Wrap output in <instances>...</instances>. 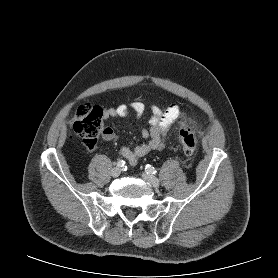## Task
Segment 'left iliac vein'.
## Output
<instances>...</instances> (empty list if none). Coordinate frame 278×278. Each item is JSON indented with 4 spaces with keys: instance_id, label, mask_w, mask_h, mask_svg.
I'll return each mask as SVG.
<instances>
[{
    "instance_id": "left-iliac-vein-1",
    "label": "left iliac vein",
    "mask_w": 278,
    "mask_h": 278,
    "mask_svg": "<svg viewBox=\"0 0 278 278\" xmlns=\"http://www.w3.org/2000/svg\"><path fill=\"white\" fill-rule=\"evenodd\" d=\"M141 176L145 181L150 183L153 187H155V188L159 187L160 182L155 176L145 173V172H143Z\"/></svg>"
}]
</instances>
